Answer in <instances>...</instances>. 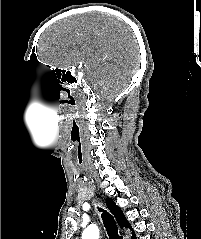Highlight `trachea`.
Instances as JSON below:
<instances>
[{
  "mask_svg": "<svg viewBox=\"0 0 201 239\" xmlns=\"http://www.w3.org/2000/svg\"><path fill=\"white\" fill-rule=\"evenodd\" d=\"M99 212H102L101 217L108 234L109 239H123L122 236L118 234V228L116 222L112 215H110L106 210L98 208Z\"/></svg>",
  "mask_w": 201,
  "mask_h": 239,
  "instance_id": "3493384b",
  "label": "trachea"
}]
</instances>
